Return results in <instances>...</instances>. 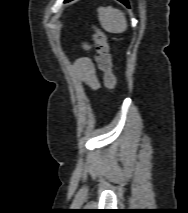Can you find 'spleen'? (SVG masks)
I'll return each mask as SVG.
<instances>
[{"instance_id": "3e777b00", "label": "spleen", "mask_w": 188, "mask_h": 213, "mask_svg": "<svg viewBox=\"0 0 188 213\" xmlns=\"http://www.w3.org/2000/svg\"><path fill=\"white\" fill-rule=\"evenodd\" d=\"M98 17L104 30L110 33H123L127 29L124 13L111 6L98 8Z\"/></svg>"}]
</instances>
